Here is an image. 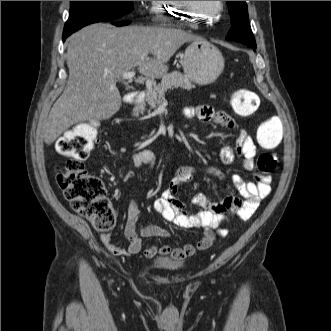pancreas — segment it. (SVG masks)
Listing matches in <instances>:
<instances>
[{"label":"pancreas","instance_id":"pancreas-1","mask_svg":"<svg viewBox=\"0 0 331 331\" xmlns=\"http://www.w3.org/2000/svg\"><path fill=\"white\" fill-rule=\"evenodd\" d=\"M171 88H183L191 90L194 85L191 83L187 76H184L180 72L174 71L163 76L161 82L146 91V102L151 109H155L157 105L162 101L165 93ZM145 111V104H140L134 108L133 115L138 116L139 113Z\"/></svg>","mask_w":331,"mask_h":331}]
</instances>
